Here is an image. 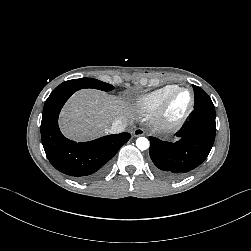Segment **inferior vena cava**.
Here are the masks:
<instances>
[{"label":"inferior vena cava","instance_id":"602c4592","mask_svg":"<svg viewBox=\"0 0 251 251\" xmlns=\"http://www.w3.org/2000/svg\"><path fill=\"white\" fill-rule=\"evenodd\" d=\"M127 124L128 123L126 121H123L121 119L115 120L112 123L110 132L111 133H121V132H123L125 130Z\"/></svg>","mask_w":251,"mask_h":251}]
</instances>
